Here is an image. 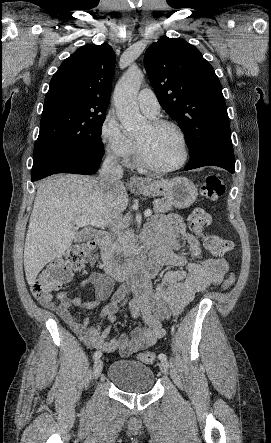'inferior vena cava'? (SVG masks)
<instances>
[{
    "instance_id": "obj_1",
    "label": "inferior vena cava",
    "mask_w": 271,
    "mask_h": 443,
    "mask_svg": "<svg viewBox=\"0 0 271 443\" xmlns=\"http://www.w3.org/2000/svg\"><path fill=\"white\" fill-rule=\"evenodd\" d=\"M121 178H123V170L122 166L118 164V160L116 156H107L105 158L102 168L100 170V174L97 178V186L99 190H111V188H116L117 182H120ZM113 231L116 229L112 227ZM103 263L105 265L104 269L106 273H111L114 275L115 265H114V253L113 251H109L105 257H103Z\"/></svg>"
}]
</instances>
